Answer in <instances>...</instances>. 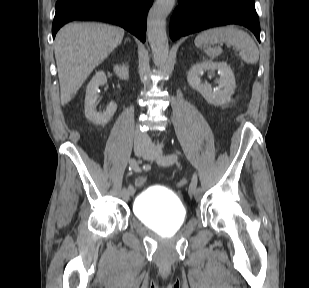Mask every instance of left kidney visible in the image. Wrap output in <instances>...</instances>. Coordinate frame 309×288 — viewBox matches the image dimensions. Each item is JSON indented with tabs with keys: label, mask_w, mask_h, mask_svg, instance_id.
I'll list each match as a JSON object with an SVG mask.
<instances>
[{
	"label": "left kidney",
	"mask_w": 309,
	"mask_h": 288,
	"mask_svg": "<svg viewBox=\"0 0 309 288\" xmlns=\"http://www.w3.org/2000/svg\"><path fill=\"white\" fill-rule=\"evenodd\" d=\"M208 70H218L220 74L217 81L218 89L216 90L209 83L201 82L200 77ZM187 81L208 103L215 106H222L229 102L236 88L234 73L226 62L205 60L196 63L190 68Z\"/></svg>",
	"instance_id": "5707ae66"
}]
</instances>
